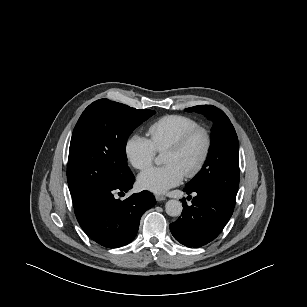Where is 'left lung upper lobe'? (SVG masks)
<instances>
[{"label":"left lung upper lobe","mask_w":307,"mask_h":307,"mask_svg":"<svg viewBox=\"0 0 307 307\" xmlns=\"http://www.w3.org/2000/svg\"><path fill=\"white\" fill-rule=\"evenodd\" d=\"M213 121L212 143L201 171L186 184L189 188H211L235 203L239 186L238 138L226 114L212 105L187 108Z\"/></svg>","instance_id":"left-lung-upper-lobe-1"}]
</instances>
